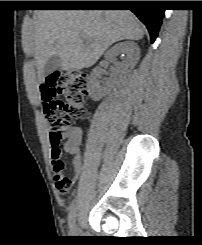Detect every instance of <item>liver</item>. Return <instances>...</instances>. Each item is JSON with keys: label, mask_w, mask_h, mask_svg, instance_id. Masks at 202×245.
Listing matches in <instances>:
<instances>
[{"label": "liver", "mask_w": 202, "mask_h": 245, "mask_svg": "<svg viewBox=\"0 0 202 245\" xmlns=\"http://www.w3.org/2000/svg\"><path fill=\"white\" fill-rule=\"evenodd\" d=\"M143 36L129 10H37L33 26L23 32V48L34 53L44 82L43 67L53 55L60 57L62 70H81L94 65L113 43Z\"/></svg>", "instance_id": "obj_1"}]
</instances>
